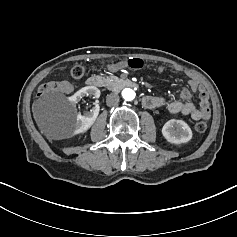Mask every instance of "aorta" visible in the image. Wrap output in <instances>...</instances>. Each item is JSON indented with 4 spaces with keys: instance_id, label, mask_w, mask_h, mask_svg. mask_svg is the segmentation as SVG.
<instances>
[{
    "instance_id": "1",
    "label": "aorta",
    "mask_w": 237,
    "mask_h": 237,
    "mask_svg": "<svg viewBox=\"0 0 237 237\" xmlns=\"http://www.w3.org/2000/svg\"><path fill=\"white\" fill-rule=\"evenodd\" d=\"M122 96L125 100L127 101H133L134 98L136 97V92L131 89V88H125L123 91H122Z\"/></svg>"
}]
</instances>
